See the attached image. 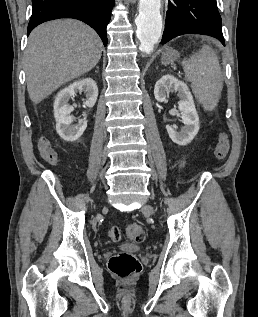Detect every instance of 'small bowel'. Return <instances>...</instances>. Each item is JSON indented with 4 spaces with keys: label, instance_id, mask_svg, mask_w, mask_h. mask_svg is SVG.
<instances>
[{
    "label": "small bowel",
    "instance_id": "small-bowel-1",
    "mask_svg": "<svg viewBox=\"0 0 258 317\" xmlns=\"http://www.w3.org/2000/svg\"><path fill=\"white\" fill-rule=\"evenodd\" d=\"M38 149L42 156L43 152H49V153H55V150L53 148V145L51 141L47 137H41L38 140ZM185 160H181L179 163V166L181 167L184 164Z\"/></svg>",
    "mask_w": 258,
    "mask_h": 317
}]
</instances>
